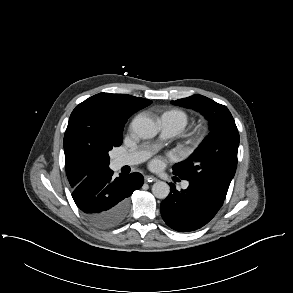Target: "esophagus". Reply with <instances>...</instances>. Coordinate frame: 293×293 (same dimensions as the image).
I'll use <instances>...</instances> for the list:
<instances>
[{
    "instance_id": "1",
    "label": "esophagus",
    "mask_w": 293,
    "mask_h": 293,
    "mask_svg": "<svg viewBox=\"0 0 293 293\" xmlns=\"http://www.w3.org/2000/svg\"><path fill=\"white\" fill-rule=\"evenodd\" d=\"M147 182H157L158 180L153 176H145Z\"/></svg>"
}]
</instances>
